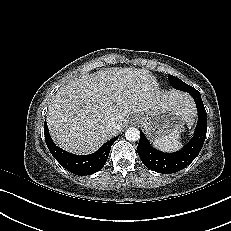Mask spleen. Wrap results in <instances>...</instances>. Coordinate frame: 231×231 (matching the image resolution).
Wrapping results in <instances>:
<instances>
[{"instance_id":"1","label":"spleen","mask_w":231,"mask_h":231,"mask_svg":"<svg viewBox=\"0 0 231 231\" xmlns=\"http://www.w3.org/2000/svg\"><path fill=\"white\" fill-rule=\"evenodd\" d=\"M180 132L156 139L153 142V146L165 152H174L179 150L182 147L179 135Z\"/></svg>"}]
</instances>
